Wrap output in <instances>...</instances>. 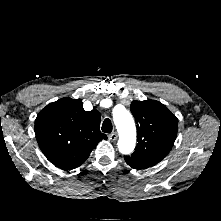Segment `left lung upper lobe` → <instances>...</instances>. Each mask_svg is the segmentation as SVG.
<instances>
[{
	"label": "left lung upper lobe",
	"mask_w": 221,
	"mask_h": 221,
	"mask_svg": "<svg viewBox=\"0 0 221 221\" xmlns=\"http://www.w3.org/2000/svg\"><path fill=\"white\" fill-rule=\"evenodd\" d=\"M131 112L137 124L135 152L124 156L133 168L146 169L162 161L170 152L177 135L178 120L161 102L133 101Z\"/></svg>",
	"instance_id": "obj_1"
}]
</instances>
